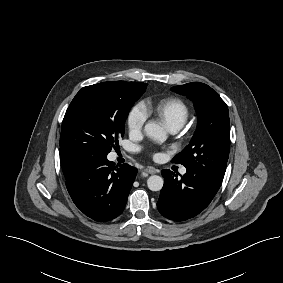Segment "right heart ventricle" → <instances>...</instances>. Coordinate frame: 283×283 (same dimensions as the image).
<instances>
[{
  "instance_id": "right-heart-ventricle-1",
  "label": "right heart ventricle",
  "mask_w": 283,
  "mask_h": 283,
  "mask_svg": "<svg viewBox=\"0 0 283 283\" xmlns=\"http://www.w3.org/2000/svg\"><path fill=\"white\" fill-rule=\"evenodd\" d=\"M145 109L147 113H154L161 118L169 129L181 128L189 117L187 104L177 97L160 99L154 104H148Z\"/></svg>"
}]
</instances>
